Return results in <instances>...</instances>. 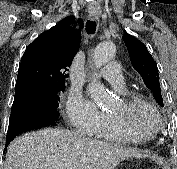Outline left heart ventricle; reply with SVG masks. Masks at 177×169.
<instances>
[{
	"label": "left heart ventricle",
	"instance_id": "b2bd125f",
	"mask_svg": "<svg viewBox=\"0 0 177 169\" xmlns=\"http://www.w3.org/2000/svg\"><path fill=\"white\" fill-rule=\"evenodd\" d=\"M120 108H121V103L120 100H118L110 112L111 113L118 112ZM134 119L138 130H149L150 128L156 125V119L154 118V116L149 111L144 109L138 110L134 114Z\"/></svg>",
	"mask_w": 177,
	"mask_h": 169
}]
</instances>
